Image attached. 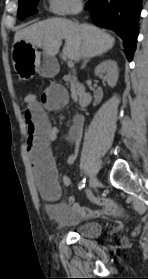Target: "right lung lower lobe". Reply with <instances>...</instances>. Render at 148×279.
Returning a JSON list of instances; mask_svg holds the SVG:
<instances>
[{
	"label": "right lung lower lobe",
	"instance_id": "obj_1",
	"mask_svg": "<svg viewBox=\"0 0 148 279\" xmlns=\"http://www.w3.org/2000/svg\"><path fill=\"white\" fill-rule=\"evenodd\" d=\"M141 6L142 0H90L87 3L93 22L114 30L123 39L129 61L136 48Z\"/></svg>",
	"mask_w": 148,
	"mask_h": 279
}]
</instances>
